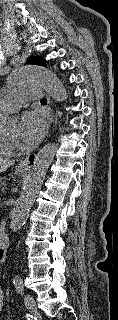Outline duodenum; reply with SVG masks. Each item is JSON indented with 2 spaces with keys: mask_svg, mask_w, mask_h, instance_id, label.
<instances>
[{
  "mask_svg": "<svg viewBox=\"0 0 118 320\" xmlns=\"http://www.w3.org/2000/svg\"><path fill=\"white\" fill-rule=\"evenodd\" d=\"M9 245V237L6 234L5 230L0 229V262H3L4 251Z\"/></svg>",
  "mask_w": 118,
  "mask_h": 320,
  "instance_id": "obj_1",
  "label": "duodenum"
}]
</instances>
